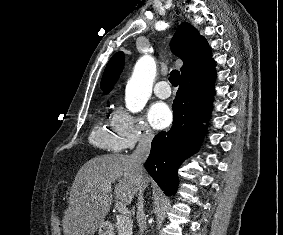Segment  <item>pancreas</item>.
I'll return each mask as SVG.
<instances>
[{
    "mask_svg": "<svg viewBox=\"0 0 283 235\" xmlns=\"http://www.w3.org/2000/svg\"><path fill=\"white\" fill-rule=\"evenodd\" d=\"M133 221L129 216H119L117 218L118 235H132Z\"/></svg>",
    "mask_w": 283,
    "mask_h": 235,
    "instance_id": "1",
    "label": "pancreas"
}]
</instances>
